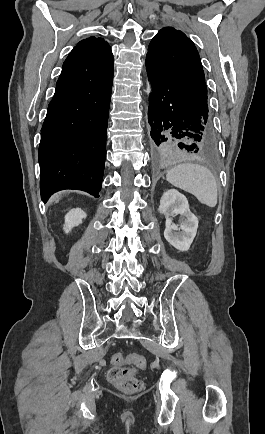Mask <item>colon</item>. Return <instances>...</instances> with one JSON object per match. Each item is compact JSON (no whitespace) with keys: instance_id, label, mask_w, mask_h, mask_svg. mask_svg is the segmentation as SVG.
<instances>
[{"instance_id":"5ec220e1","label":"colon","mask_w":265,"mask_h":434,"mask_svg":"<svg viewBox=\"0 0 265 434\" xmlns=\"http://www.w3.org/2000/svg\"><path fill=\"white\" fill-rule=\"evenodd\" d=\"M146 366V359L139 355H117L112 358V367L107 371L106 377L114 387L124 391H138L143 387V383L136 372Z\"/></svg>"}]
</instances>
